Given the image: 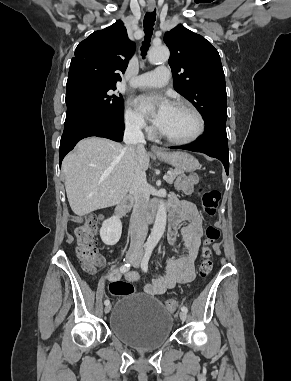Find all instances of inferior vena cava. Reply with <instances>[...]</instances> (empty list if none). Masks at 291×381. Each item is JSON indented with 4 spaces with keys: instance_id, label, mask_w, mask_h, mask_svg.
<instances>
[{
    "instance_id": "602c4592",
    "label": "inferior vena cava",
    "mask_w": 291,
    "mask_h": 381,
    "mask_svg": "<svg viewBox=\"0 0 291 381\" xmlns=\"http://www.w3.org/2000/svg\"><path fill=\"white\" fill-rule=\"evenodd\" d=\"M124 141L132 147L131 154L135 168L130 187V194L134 198V207L130 224L131 243L128 253L141 255L148 230L149 193L147 191L146 174L139 164L140 154L145 150L144 145L146 143L140 123L133 121L126 124Z\"/></svg>"
}]
</instances>
